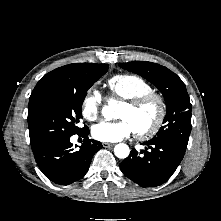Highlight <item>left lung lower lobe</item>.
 <instances>
[{
	"label": "left lung lower lobe",
	"mask_w": 221,
	"mask_h": 221,
	"mask_svg": "<svg viewBox=\"0 0 221 221\" xmlns=\"http://www.w3.org/2000/svg\"><path fill=\"white\" fill-rule=\"evenodd\" d=\"M145 150L135 148L120 163L124 175L142 187H156L167 181L184 157L186 148L170 141L149 140Z\"/></svg>",
	"instance_id": "0a47b994"
}]
</instances>
